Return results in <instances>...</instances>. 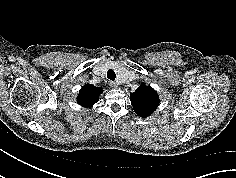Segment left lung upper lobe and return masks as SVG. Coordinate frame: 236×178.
Returning a JSON list of instances; mask_svg holds the SVG:
<instances>
[{"mask_svg": "<svg viewBox=\"0 0 236 178\" xmlns=\"http://www.w3.org/2000/svg\"><path fill=\"white\" fill-rule=\"evenodd\" d=\"M130 97L134 111L143 118L151 115L159 105L157 92L145 84H142Z\"/></svg>", "mask_w": 236, "mask_h": 178, "instance_id": "1", "label": "left lung upper lobe"}]
</instances>
